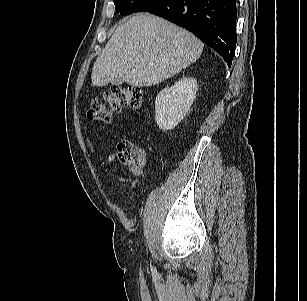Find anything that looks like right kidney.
<instances>
[{
    "label": "right kidney",
    "mask_w": 307,
    "mask_h": 301,
    "mask_svg": "<svg viewBox=\"0 0 307 301\" xmlns=\"http://www.w3.org/2000/svg\"><path fill=\"white\" fill-rule=\"evenodd\" d=\"M197 92V80L185 77L156 96L155 120L162 130H171L181 122L190 109Z\"/></svg>",
    "instance_id": "ca27d5eb"
}]
</instances>
